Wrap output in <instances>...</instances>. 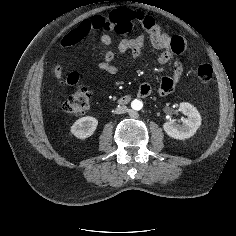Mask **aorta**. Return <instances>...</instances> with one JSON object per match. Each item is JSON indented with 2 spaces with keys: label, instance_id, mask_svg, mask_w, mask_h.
<instances>
[{
  "label": "aorta",
  "instance_id": "obj_1",
  "mask_svg": "<svg viewBox=\"0 0 236 236\" xmlns=\"http://www.w3.org/2000/svg\"><path fill=\"white\" fill-rule=\"evenodd\" d=\"M131 108L135 111H139L143 108V102L141 100L135 99L131 102Z\"/></svg>",
  "mask_w": 236,
  "mask_h": 236
}]
</instances>
